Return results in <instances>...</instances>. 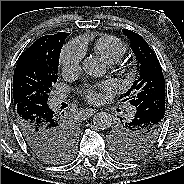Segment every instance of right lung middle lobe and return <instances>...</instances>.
I'll return each instance as SVG.
<instances>
[{
	"label": "right lung middle lobe",
	"instance_id": "1",
	"mask_svg": "<svg viewBox=\"0 0 184 184\" xmlns=\"http://www.w3.org/2000/svg\"><path fill=\"white\" fill-rule=\"evenodd\" d=\"M62 40H56L47 56H27L18 60L14 71L12 94L14 104H46L52 86L58 79V64ZM76 131L74 127L63 130L62 140L49 150L35 152L39 158L49 163L68 159L75 148Z\"/></svg>",
	"mask_w": 184,
	"mask_h": 184
}]
</instances>
